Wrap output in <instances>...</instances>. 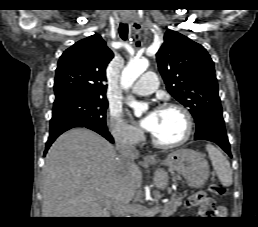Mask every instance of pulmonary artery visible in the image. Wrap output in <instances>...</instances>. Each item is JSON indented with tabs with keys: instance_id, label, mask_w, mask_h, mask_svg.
<instances>
[{
	"instance_id": "pulmonary-artery-1",
	"label": "pulmonary artery",
	"mask_w": 258,
	"mask_h": 227,
	"mask_svg": "<svg viewBox=\"0 0 258 227\" xmlns=\"http://www.w3.org/2000/svg\"><path fill=\"white\" fill-rule=\"evenodd\" d=\"M157 84L155 73L147 72L135 83L132 92L138 96H147L156 90Z\"/></svg>"
}]
</instances>
